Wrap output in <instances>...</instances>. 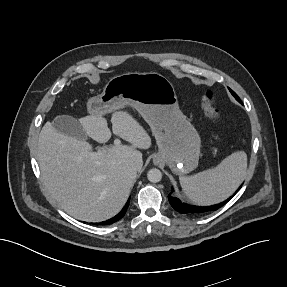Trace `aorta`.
<instances>
[{
    "mask_svg": "<svg viewBox=\"0 0 287 287\" xmlns=\"http://www.w3.org/2000/svg\"><path fill=\"white\" fill-rule=\"evenodd\" d=\"M147 178L152 183H157L162 179V172L159 169H150L147 173Z\"/></svg>",
    "mask_w": 287,
    "mask_h": 287,
    "instance_id": "obj_1",
    "label": "aorta"
}]
</instances>
